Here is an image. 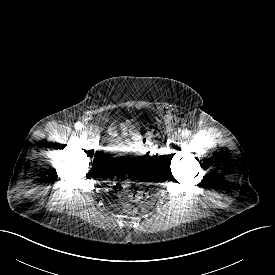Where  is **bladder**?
<instances>
[{"mask_svg":"<svg viewBox=\"0 0 275 275\" xmlns=\"http://www.w3.org/2000/svg\"><path fill=\"white\" fill-rule=\"evenodd\" d=\"M106 163L109 170L116 175L141 178L151 172L154 160L151 153L144 148L119 145L109 151Z\"/></svg>","mask_w":275,"mask_h":275,"instance_id":"bladder-1","label":"bladder"}]
</instances>
